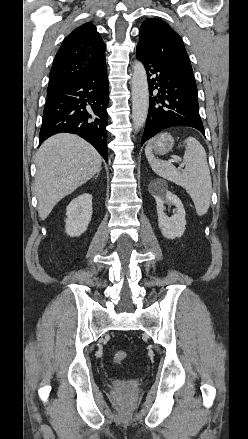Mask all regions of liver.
I'll return each mask as SVG.
<instances>
[{"label":"liver","instance_id":"liver-1","mask_svg":"<svg viewBox=\"0 0 248 439\" xmlns=\"http://www.w3.org/2000/svg\"><path fill=\"white\" fill-rule=\"evenodd\" d=\"M34 192L38 214L45 220L54 206L101 170L102 157L77 135L60 133L38 149Z\"/></svg>","mask_w":248,"mask_h":439}]
</instances>
